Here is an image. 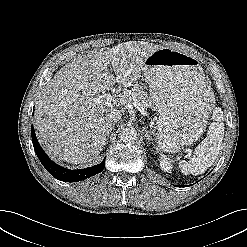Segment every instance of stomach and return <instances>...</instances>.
<instances>
[{
  "instance_id": "1",
  "label": "stomach",
  "mask_w": 247,
  "mask_h": 247,
  "mask_svg": "<svg viewBox=\"0 0 247 247\" xmlns=\"http://www.w3.org/2000/svg\"><path fill=\"white\" fill-rule=\"evenodd\" d=\"M142 73L158 115L159 149L174 153L195 142L203 132L214 101L199 61L162 47L145 59Z\"/></svg>"
}]
</instances>
